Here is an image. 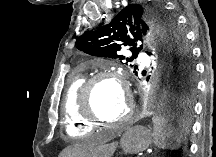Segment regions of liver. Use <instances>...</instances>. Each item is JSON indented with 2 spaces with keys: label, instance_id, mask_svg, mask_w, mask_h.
Here are the masks:
<instances>
[{
  "label": "liver",
  "instance_id": "1",
  "mask_svg": "<svg viewBox=\"0 0 216 157\" xmlns=\"http://www.w3.org/2000/svg\"><path fill=\"white\" fill-rule=\"evenodd\" d=\"M107 155H109L108 145L84 142L66 148L60 157H107Z\"/></svg>",
  "mask_w": 216,
  "mask_h": 157
}]
</instances>
